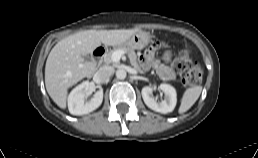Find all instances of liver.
Instances as JSON below:
<instances>
[{
	"instance_id": "obj_1",
	"label": "liver",
	"mask_w": 258,
	"mask_h": 158,
	"mask_svg": "<svg viewBox=\"0 0 258 158\" xmlns=\"http://www.w3.org/2000/svg\"><path fill=\"white\" fill-rule=\"evenodd\" d=\"M140 29L85 30L60 40L48 55L45 65L46 90L62 109L66 108L67 90L94 73L95 65L83 56L98 46H118Z\"/></svg>"
}]
</instances>
